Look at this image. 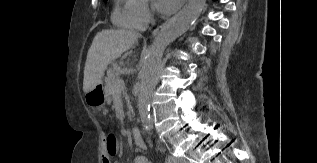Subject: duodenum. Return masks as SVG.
<instances>
[{
    "label": "duodenum",
    "instance_id": "obj_1",
    "mask_svg": "<svg viewBox=\"0 0 317 163\" xmlns=\"http://www.w3.org/2000/svg\"><path fill=\"white\" fill-rule=\"evenodd\" d=\"M132 139L137 146L139 147L145 146V139L140 129L132 130Z\"/></svg>",
    "mask_w": 317,
    "mask_h": 163
}]
</instances>
